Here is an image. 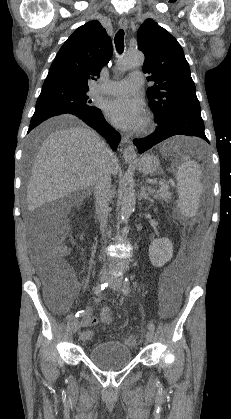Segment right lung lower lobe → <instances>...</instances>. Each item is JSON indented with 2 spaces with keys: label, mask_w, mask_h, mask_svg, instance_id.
<instances>
[{
  "label": "right lung lower lobe",
  "mask_w": 231,
  "mask_h": 419,
  "mask_svg": "<svg viewBox=\"0 0 231 419\" xmlns=\"http://www.w3.org/2000/svg\"><path fill=\"white\" fill-rule=\"evenodd\" d=\"M58 115L73 116L84 121L89 126L94 128L99 134L107 138L113 150L117 149V146L120 142V134L106 122L101 110H98L92 114L84 115V114H73L66 111L37 109L34 112V115L31 119L28 132H30L34 127H36L38 124H40L44 120L53 116H58Z\"/></svg>",
  "instance_id": "98d812e1"
}]
</instances>
